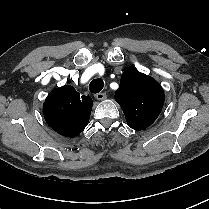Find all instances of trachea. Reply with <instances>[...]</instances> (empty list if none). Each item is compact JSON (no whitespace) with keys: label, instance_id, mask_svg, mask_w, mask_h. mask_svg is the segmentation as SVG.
Listing matches in <instances>:
<instances>
[{"label":"trachea","instance_id":"1","mask_svg":"<svg viewBox=\"0 0 209 209\" xmlns=\"http://www.w3.org/2000/svg\"><path fill=\"white\" fill-rule=\"evenodd\" d=\"M104 87V81L101 78L94 79L89 84V90L92 93H99Z\"/></svg>","mask_w":209,"mask_h":209}]
</instances>
